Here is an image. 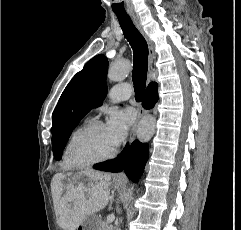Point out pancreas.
<instances>
[{
    "label": "pancreas",
    "instance_id": "pancreas-1",
    "mask_svg": "<svg viewBox=\"0 0 241 230\" xmlns=\"http://www.w3.org/2000/svg\"><path fill=\"white\" fill-rule=\"evenodd\" d=\"M99 230H113V227H112V225H108V223H106V222H102L100 224Z\"/></svg>",
    "mask_w": 241,
    "mask_h": 230
}]
</instances>
